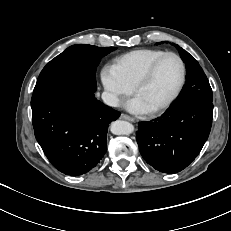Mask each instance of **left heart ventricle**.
<instances>
[{"mask_svg": "<svg viewBox=\"0 0 231 231\" xmlns=\"http://www.w3.org/2000/svg\"><path fill=\"white\" fill-rule=\"evenodd\" d=\"M181 77V67L179 61L174 57L163 59L157 66L152 78L142 88L136 96L152 109L163 103L177 88Z\"/></svg>", "mask_w": 231, "mask_h": 231, "instance_id": "1", "label": "left heart ventricle"}]
</instances>
